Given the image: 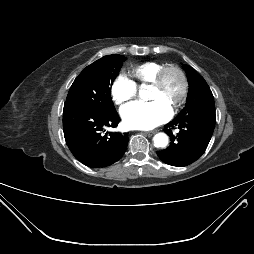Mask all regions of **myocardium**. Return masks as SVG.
I'll return each mask as SVG.
<instances>
[{"instance_id":"myocardium-1","label":"myocardium","mask_w":254,"mask_h":254,"mask_svg":"<svg viewBox=\"0 0 254 254\" xmlns=\"http://www.w3.org/2000/svg\"><path fill=\"white\" fill-rule=\"evenodd\" d=\"M168 72L175 73L180 80V86H181L180 93L171 110L172 112H175L178 108H180L184 104L188 95L189 86H188L187 77L185 73L183 72V70L175 65L162 66L158 70L154 80L150 83V85L151 87H154V88H161L164 83V77Z\"/></svg>"}]
</instances>
